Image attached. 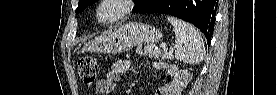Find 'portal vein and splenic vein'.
<instances>
[{"mask_svg": "<svg viewBox=\"0 0 277 95\" xmlns=\"http://www.w3.org/2000/svg\"><path fill=\"white\" fill-rule=\"evenodd\" d=\"M160 47L164 50H167V45L165 43L161 44Z\"/></svg>", "mask_w": 277, "mask_h": 95, "instance_id": "1", "label": "portal vein and splenic vein"}]
</instances>
